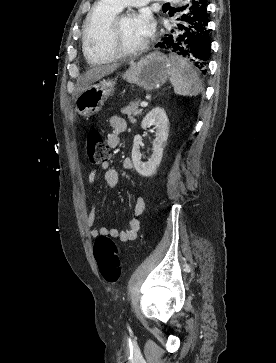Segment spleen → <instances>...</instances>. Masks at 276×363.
<instances>
[{
	"mask_svg": "<svg viewBox=\"0 0 276 363\" xmlns=\"http://www.w3.org/2000/svg\"><path fill=\"white\" fill-rule=\"evenodd\" d=\"M172 71L170 81L174 93L182 96H197L202 91V82L197 72L183 58L170 55Z\"/></svg>",
	"mask_w": 276,
	"mask_h": 363,
	"instance_id": "spleen-1",
	"label": "spleen"
}]
</instances>
